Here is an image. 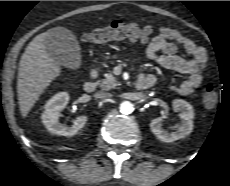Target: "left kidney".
I'll list each match as a JSON object with an SVG mask.
<instances>
[{
    "label": "left kidney",
    "instance_id": "obj_1",
    "mask_svg": "<svg viewBox=\"0 0 230 186\" xmlns=\"http://www.w3.org/2000/svg\"><path fill=\"white\" fill-rule=\"evenodd\" d=\"M172 107L175 112H180V123L176 125L177 129L174 132H168L162 127V117L155 118L150 123V129L153 134L159 140L167 143H171L188 136L193 129V107L182 99H175L172 102Z\"/></svg>",
    "mask_w": 230,
    "mask_h": 186
}]
</instances>
